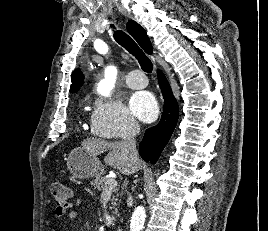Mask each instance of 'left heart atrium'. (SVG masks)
<instances>
[{"mask_svg": "<svg viewBox=\"0 0 268 231\" xmlns=\"http://www.w3.org/2000/svg\"><path fill=\"white\" fill-rule=\"evenodd\" d=\"M129 108L134 116L146 123L155 121L159 115L157 101L147 91L134 93L129 99Z\"/></svg>", "mask_w": 268, "mask_h": 231, "instance_id": "obj_1", "label": "left heart atrium"}]
</instances>
